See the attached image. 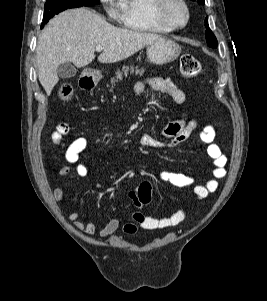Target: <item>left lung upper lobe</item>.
Returning <instances> with one entry per match:
<instances>
[{"mask_svg":"<svg viewBox=\"0 0 267 301\" xmlns=\"http://www.w3.org/2000/svg\"><path fill=\"white\" fill-rule=\"evenodd\" d=\"M193 1H196L200 5H202L204 3V0H193ZM205 26L207 28L206 29L207 45L209 47L216 48L217 47V39L208 26V18L205 19Z\"/></svg>","mask_w":267,"mask_h":301,"instance_id":"obj_1","label":"left lung upper lobe"}]
</instances>
